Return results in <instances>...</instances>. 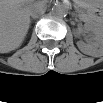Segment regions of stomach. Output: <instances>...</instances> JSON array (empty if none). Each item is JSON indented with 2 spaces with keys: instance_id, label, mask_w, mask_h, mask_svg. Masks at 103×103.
Listing matches in <instances>:
<instances>
[{
  "instance_id": "stomach-1",
  "label": "stomach",
  "mask_w": 103,
  "mask_h": 103,
  "mask_svg": "<svg viewBox=\"0 0 103 103\" xmlns=\"http://www.w3.org/2000/svg\"><path fill=\"white\" fill-rule=\"evenodd\" d=\"M79 6L84 8V9H92L93 4L91 1H87V0H82L79 2Z\"/></svg>"
}]
</instances>
